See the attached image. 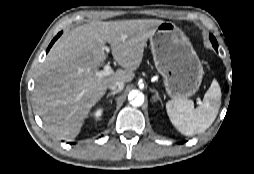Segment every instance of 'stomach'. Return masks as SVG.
I'll return each mask as SVG.
<instances>
[{
	"label": "stomach",
	"mask_w": 254,
	"mask_h": 174,
	"mask_svg": "<svg viewBox=\"0 0 254 174\" xmlns=\"http://www.w3.org/2000/svg\"><path fill=\"white\" fill-rule=\"evenodd\" d=\"M155 67L173 99H187L199 89L203 66L184 32L172 22L158 25L150 36Z\"/></svg>",
	"instance_id": "stomach-1"
}]
</instances>
